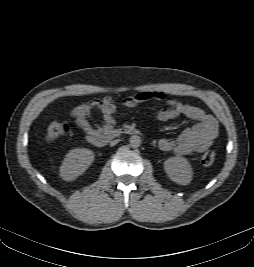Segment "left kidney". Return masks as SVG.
Listing matches in <instances>:
<instances>
[{
  "instance_id": "5707ae66",
  "label": "left kidney",
  "mask_w": 254,
  "mask_h": 267,
  "mask_svg": "<svg viewBox=\"0 0 254 267\" xmlns=\"http://www.w3.org/2000/svg\"><path fill=\"white\" fill-rule=\"evenodd\" d=\"M167 176L177 184L187 185L191 182L193 171L190 163L181 156H175L164 162Z\"/></svg>"
}]
</instances>
